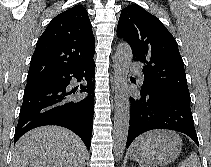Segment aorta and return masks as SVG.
I'll list each match as a JSON object with an SVG mask.
<instances>
[{
    "mask_svg": "<svg viewBox=\"0 0 211 167\" xmlns=\"http://www.w3.org/2000/svg\"><path fill=\"white\" fill-rule=\"evenodd\" d=\"M131 60L132 51L130 46L127 43H120L113 59L116 81L113 152L118 159L124 153L129 130L130 103L127 82Z\"/></svg>",
    "mask_w": 211,
    "mask_h": 167,
    "instance_id": "obj_1",
    "label": "aorta"
}]
</instances>
